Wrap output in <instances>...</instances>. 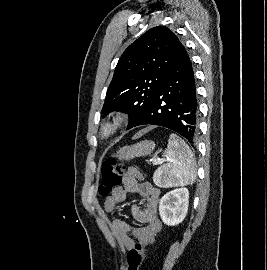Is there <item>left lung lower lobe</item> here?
I'll use <instances>...</instances> for the list:
<instances>
[{
	"label": "left lung lower lobe",
	"instance_id": "1",
	"mask_svg": "<svg viewBox=\"0 0 267 270\" xmlns=\"http://www.w3.org/2000/svg\"><path fill=\"white\" fill-rule=\"evenodd\" d=\"M197 120L194 72L187 51L181 44L164 82L135 126L150 124L169 128L194 146Z\"/></svg>",
	"mask_w": 267,
	"mask_h": 270
}]
</instances>
